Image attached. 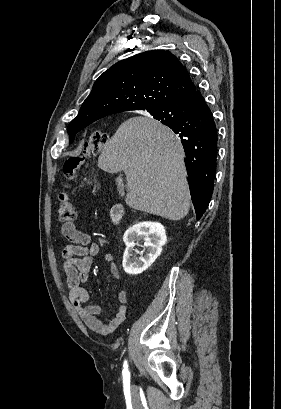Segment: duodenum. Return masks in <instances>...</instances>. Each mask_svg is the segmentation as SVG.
Listing matches in <instances>:
<instances>
[{
	"label": "duodenum",
	"mask_w": 281,
	"mask_h": 409,
	"mask_svg": "<svg viewBox=\"0 0 281 409\" xmlns=\"http://www.w3.org/2000/svg\"><path fill=\"white\" fill-rule=\"evenodd\" d=\"M110 216L114 222H119L123 217V207L120 204H116L111 208Z\"/></svg>",
	"instance_id": "duodenum-1"
}]
</instances>
